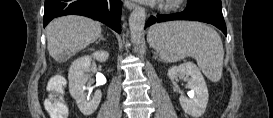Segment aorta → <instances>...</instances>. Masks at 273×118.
I'll use <instances>...</instances> for the list:
<instances>
[{
  "mask_svg": "<svg viewBox=\"0 0 273 118\" xmlns=\"http://www.w3.org/2000/svg\"><path fill=\"white\" fill-rule=\"evenodd\" d=\"M146 12L142 7H136L129 17V28L132 41L139 46L142 42Z\"/></svg>",
  "mask_w": 273,
  "mask_h": 118,
  "instance_id": "762f6f07",
  "label": "aorta"
}]
</instances>
